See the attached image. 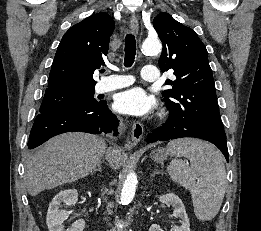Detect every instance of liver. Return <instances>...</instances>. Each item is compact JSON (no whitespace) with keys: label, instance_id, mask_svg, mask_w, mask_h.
<instances>
[{"label":"liver","instance_id":"obj_1","mask_svg":"<svg viewBox=\"0 0 261 231\" xmlns=\"http://www.w3.org/2000/svg\"><path fill=\"white\" fill-rule=\"evenodd\" d=\"M105 151V140L91 134L66 133L50 139L26 162L28 193L35 196L43 190L87 176L101 162ZM107 152L110 166L120 168L125 154L117 148Z\"/></svg>","mask_w":261,"mask_h":231}]
</instances>
